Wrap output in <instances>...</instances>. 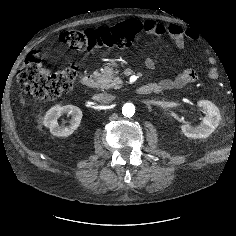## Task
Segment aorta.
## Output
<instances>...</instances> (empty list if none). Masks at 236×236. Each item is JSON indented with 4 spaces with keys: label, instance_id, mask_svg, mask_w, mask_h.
<instances>
[{
    "label": "aorta",
    "instance_id": "1",
    "mask_svg": "<svg viewBox=\"0 0 236 236\" xmlns=\"http://www.w3.org/2000/svg\"><path fill=\"white\" fill-rule=\"evenodd\" d=\"M135 113V106L133 103H125L122 107V114L125 117H132Z\"/></svg>",
    "mask_w": 236,
    "mask_h": 236
}]
</instances>
